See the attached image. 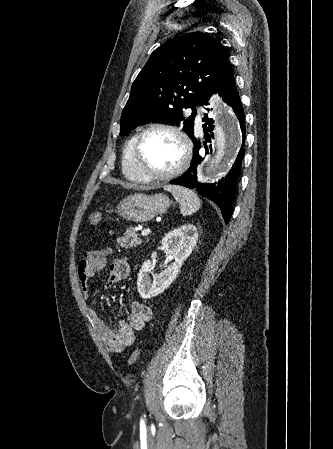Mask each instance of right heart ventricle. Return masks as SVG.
Listing matches in <instances>:
<instances>
[{"label":"right heart ventricle","instance_id":"e07e8e85","mask_svg":"<svg viewBox=\"0 0 333 449\" xmlns=\"http://www.w3.org/2000/svg\"><path fill=\"white\" fill-rule=\"evenodd\" d=\"M136 134L132 135L128 141L126 142L123 154H122V169L124 175L132 181L137 182H145L141 179V177L138 175L134 163H133V146L136 139Z\"/></svg>","mask_w":333,"mask_h":449}]
</instances>
